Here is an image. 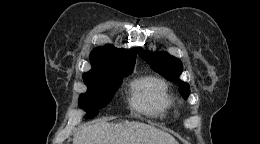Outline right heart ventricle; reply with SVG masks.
Returning <instances> with one entry per match:
<instances>
[{
	"instance_id": "1",
	"label": "right heart ventricle",
	"mask_w": 260,
	"mask_h": 144,
	"mask_svg": "<svg viewBox=\"0 0 260 144\" xmlns=\"http://www.w3.org/2000/svg\"><path fill=\"white\" fill-rule=\"evenodd\" d=\"M131 106L148 116L163 118L173 106L166 83L155 76H146L131 83Z\"/></svg>"
}]
</instances>
